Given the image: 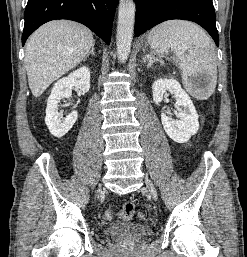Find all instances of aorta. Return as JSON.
<instances>
[{"mask_svg":"<svg viewBox=\"0 0 247 257\" xmlns=\"http://www.w3.org/2000/svg\"><path fill=\"white\" fill-rule=\"evenodd\" d=\"M135 23V3L133 0H120L117 21V57L124 63L130 54Z\"/></svg>","mask_w":247,"mask_h":257,"instance_id":"1","label":"aorta"}]
</instances>
